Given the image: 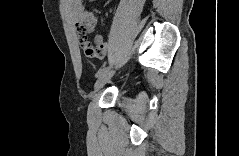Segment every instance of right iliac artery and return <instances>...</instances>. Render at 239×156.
<instances>
[{
	"instance_id": "obj_1",
	"label": "right iliac artery",
	"mask_w": 239,
	"mask_h": 156,
	"mask_svg": "<svg viewBox=\"0 0 239 156\" xmlns=\"http://www.w3.org/2000/svg\"><path fill=\"white\" fill-rule=\"evenodd\" d=\"M107 70H108V67L100 68V69L97 71L95 77H100V76H101L102 74H104Z\"/></svg>"
}]
</instances>
